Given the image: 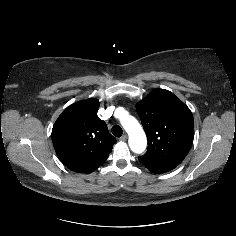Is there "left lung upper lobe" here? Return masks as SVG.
I'll list each match as a JSON object with an SVG mask.
<instances>
[{"instance_id": "5c2ea615", "label": "left lung upper lobe", "mask_w": 236, "mask_h": 236, "mask_svg": "<svg viewBox=\"0 0 236 236\" xmlns=\"http://www.w3.org/2000/svg\"><path fill=\"white\" fill-rule=\"evenodd\" d=\"M136 110L148 138V150L139 161L156 171L176 168L193 143L190 109L170 91L156 89L136 104Z\"/></svg>"}]
</instances>
